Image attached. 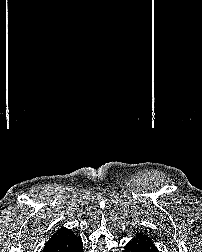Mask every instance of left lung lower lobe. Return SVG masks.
I'll return each mask as SVG.
<instances>
[{
  "label": "left lung lower lobe",
  "mask_w": 202,
  "mask_h": 252,
  "mask_svg": "<svg viewBox=\"0 0 202 252\" xmlns=\"http://www.w3.org/2000/svg\"><path fill=\"white\" fill-rule=\"evenodd\" d=\"M123 252H159V250L149 236L140 232L128 242Z\"/></svg>",
  "instance_id": "1"
}]
</instances>
